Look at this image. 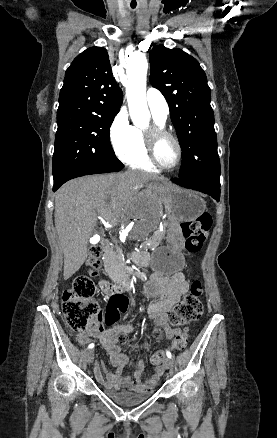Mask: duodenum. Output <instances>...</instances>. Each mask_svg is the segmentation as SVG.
Wrapping results in <instances>:
<instances>
[{
    "label": "duodenum",
    "instance_id": "410a0bca",
    "mask_svg": "<svg viewBox=\"0 0 277 438\" xmlns=\"http://www.w3.org/2000/svg\"><path fill=\"white\" fill-rule=\"evenodd\" d=\"M101 248L103 250L108 249V241L103 240L101 242ZM129 260L131 261V263H133L135 265L147 266L150 263V256L147 252L138 251V252L132 253L130 255ZM127 287H128L127 278L122 280L118 285H112L110 283H103L102 284V289L107 294H114V293L122 292V291L126 290Z\"/></svg>",
    "mask_w": 277,
    "mask_h": 438
}]
</instances>
